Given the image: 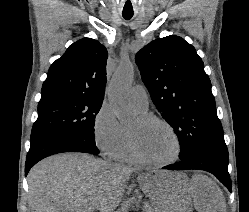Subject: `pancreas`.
<instances>
[{
	"mask_svg": "<svg viewBox=\"0 0 249 212\" xmlns=\"http://www.w3.org/2000/svg\"><path fill=\"white\" fill-rule=\"evenodd\" d=\"M142 210L143 212H157L156 206H152V204H150V206L146 204V206H143Z\"/></svg>",
	"mask_w": 249,
	"mask_h": 212,
	"instance_id": "1",
	"label": "pancreas"
}]
</instances>
